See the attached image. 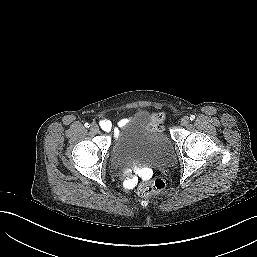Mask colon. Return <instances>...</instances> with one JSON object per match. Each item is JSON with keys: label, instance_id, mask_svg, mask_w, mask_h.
Here are the masks:
<instances>
[{"label": "colon", "instance_id": "5ec220e1", "mask_svg": "<svg viewBox=\"0 0 257 257\" xmlns=\"http://www.w3.org/2000/svg\"><path fill=\"white\" fill-rule=\"evenodd\" d=\"M165 117L163 113L153 114L152 120L155 126L162 128ZM166 183L163 179H148L143 181L138 187V194L142 197L150 196L165 189Z\"/></svg>", "mask_w": 257, "mask_h": 257}]
</instances>
